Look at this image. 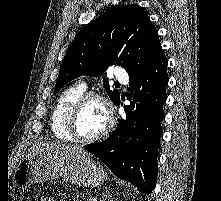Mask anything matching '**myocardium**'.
<instances>
[{"mask_svg": "<svg viewBox=\"0 0 221 201\" xmlns=\"http://www.w3.org/2000/svg\"><path fill=\"white\" fill-rule=\"evenodd\" d=\"M91 100H98L104 105L107 115V124L99 134L92 137H82L77 131V121L81 110ZM114 122V108L109 98L97 92H86L72 106L67 120V129L74 141L80 143H93L107 136L112 130Z\"/></svg>", "mask_w": 221, "mask_h": 201, "instance_id": "obj_1", "label": "myocardium"}]
</instances>
